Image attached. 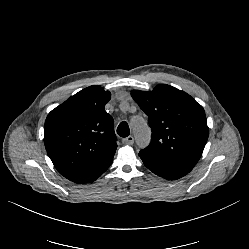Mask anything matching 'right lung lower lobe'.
Listing matches in <instances>:
<instances>
[{
    "label": "right lung lower lobe",
    "mask_w": 249,
    "mask_h": 249,
    "mask_svg": "<svg viewBox=\"0 0 249 249\" xmlns=\"http://www.w3.org/2000/svg\"><path fill=\"white\" fill-rule=\"evenodd\" d=\"M107 169H108V168H107ZM107 169H106V170H107ZM106 170H105V171H106ZM105 171H104V172H105ZM104 172H102V173H104ZM102 173H101V174H102ZM101 174H100V175H101ZM100 175H99V176H100ZM99 176H98V177H99ZM98 177L94 178V179L91 180L90 182H93V181L96 180Z\"/></svg>",
    "instance_id": "right-lung-lower-lobe-1"
}]
</instances>
